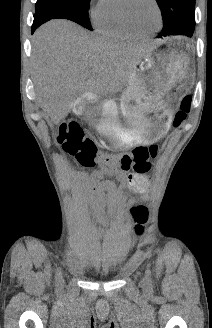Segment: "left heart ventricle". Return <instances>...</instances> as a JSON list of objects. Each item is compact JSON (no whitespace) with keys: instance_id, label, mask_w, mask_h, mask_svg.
Returning a JSON list of instances; mask_svg holds the SVG:
<instances>
[{"instance_id":"left-heart-ventricle-1","label":"left heart ventricle","mask_w":212,"mask_h":328,"mask_svg":"<svg viewBox=\"0 0 212 328\" xmlns=\"http://www.w3.org/2000/svg\"><path fill=\"white\" fill-rule=\"evenodd\" d=\"M130 15L134 24L145 32H151L159 25V16L151 0H133Z\"/></svg>"}]
</instances>
